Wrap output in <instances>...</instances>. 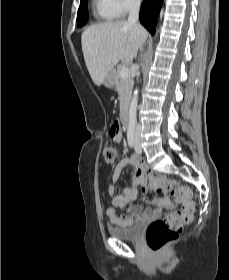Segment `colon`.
<instances>
[{
	"label": "colon",
	"mask_w": 229,
	"mask_h": 280,
	"mask_svg": "<svg viewBox=\"0 0 229 280\" xmlns=\"http://www.w3.org/2000/svg\"><path fill=\"white\" fill-rule=\"evenodd\" d=\"M119 124L114 122L110 127V133L118 131ZM116 156V150L111 144L103 147V157L107 165H111ZM147 185L152 189H161L177 202L183 203L181 208H175L164 217L153 221L146 230V241L150 249L159 251L178 237L191 220L194 209L192 191L182 186L177 180L166 179L161 174H151L147 177Z\"/></svg>",
	"instance_id": "1"
}]
</instances>
